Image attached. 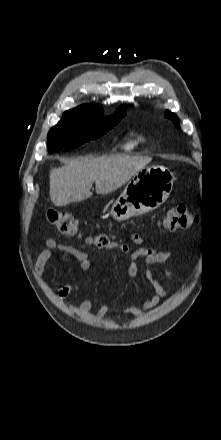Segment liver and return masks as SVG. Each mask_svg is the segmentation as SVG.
I'll return each instance as SVG.
<instances>
[{
    "label": "liver",
    "instance_id": "obj_1",
    "mask_svg": "<svg viewBox=\"0 0 221 440\" xmlns=\"http://www.w3.org/2000/svg\"><path fill=\"white\" fill-rule=\"evenodd\" d=\"M150 162L139 156H102L77 159L50 171V199L57 207L80 202L92 196L93 182L97 194H109L137 174Z\"/></svg>",
    "mask_w": 221,
    "mask_h": 440
}]
</instances>
